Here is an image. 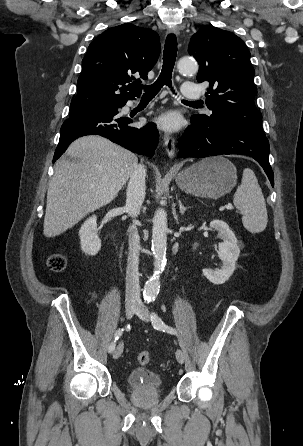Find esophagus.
<instances>
[{
  "label": "esophagus",
  "instance_id": "34e87169",
  "mask_svg": "<svg viewBox=\"0 0 303 446\" xmlns=\"http://www.w3.org/2000/svg\"><path fill=\"white\" fill-rule=\"evenodd\" d=\"M170 33L179 35V29L177 27H173L169 30ZM163 142L166 149V153L170 159H173L175 156V139L171 135L165 133L163 135Z\"/></svg>",
  "mask_w": 303,
  "mask_h": 446
}]
</instances>
